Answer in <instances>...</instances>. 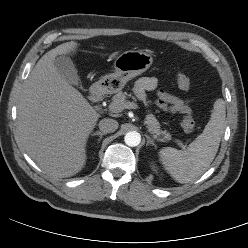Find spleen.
<instances>
[{
    "label": "spleen",
    "mask_w": 248,
    "mask_h": 248,
    "mask_svg": "<svg viewBox=\"0 0 248 248\" xmlns=\"http://www.w3.org/2000/svg\"><path fill=\"white\" fill-rule=\"evenodd\" d=\"M225 116V103L218 99L203 132L187 149L165 147L159 151L160 162L175 181L182 184L193 182L207 170L218 151L224 132Z\"/></svg>",
    "instance_id": "obj_1"
}]
</instances>
